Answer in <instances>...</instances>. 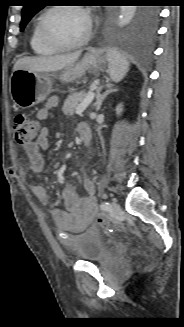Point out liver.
Returning <instances> with one entry per match:
<instances>
[{"label": "liver", "mask_w": 184, "mask_h": 327, "mask_svg": "<svg viewBox=\"0 0 184 327\" xmlns=\"http://www.w3.org/2000/svg\"><path fill=\"white\" fill-rule=\"evenodd\" d=\"M81 55V51L50 57H23L16 61L13 71L26 69L33 72H55L74 64Z\"/></svg>", "instance_id": "6515ba94"}]
</instances>
